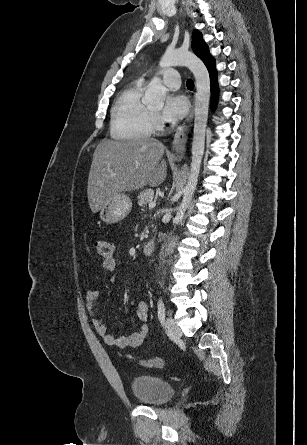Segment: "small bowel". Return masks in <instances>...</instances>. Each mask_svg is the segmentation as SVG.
<instances>
[{
    "instance_id": "1",
    "label": "small bowel",
    "mask_w": 307,
    "mask_h": 445,
    "mask_svg": "<svg viewBox=\"0 0 307 445\" xmlns=\"http://www.w3.org/2000/svg\"><path fill=\"white\" fill-rule=\"evenodd\" d=\"M101 267L105 271L113 273L117 269V263L114 258L104 259L101 262ZM98 297L99 292L96 289H91L86 294L87 307L92 314L94 313V306ZM136 313L138 319L144 322V324L142 325L140 331L132 334L114 336L109 332V329L105 325L104 321L98 317L93 318V324L106 344L120 349L135 348L142 344L148 332V327L145 324L149 317V308L147 303L144 301L139 302Z\"/></svg>"
}]
</instances>
